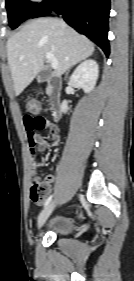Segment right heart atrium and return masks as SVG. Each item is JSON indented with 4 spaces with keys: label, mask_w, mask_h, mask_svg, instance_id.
I'll use <instances>...</instances> for the list:
<instances>
[{
    "label": "right heart atrium",
    "mask_w": 134,
    "mask_h": 281,
    "mask_svg": "<svg viewBox=\"0 0 134 281\" xmlns=\"http://www.w3.org/2000/svg\"><path fill=\"white\" fill-rule=\"evenodd\" d=\"M30 1L35 4H40V3H43L45 0H30Z\"/></svg>",
    "instance_id": "d8ad5b80"
}]
</instances>
